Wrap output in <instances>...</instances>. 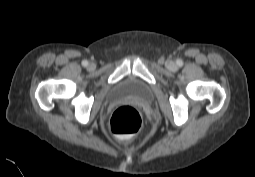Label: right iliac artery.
<instances>
[{
    "label": "right iliac artery",
    "mask_w": 255,
    "mask_h": 177,
    "mask_svg": "<svg viewBox=\"0 0 255 177\" xmlns=\"http://www.w3.org/2000/svg\"><path fill=\"white\" fill-rule=\"evenodd\" d=\"M82 65H83L84 67L88 66V61H87V60H83V61H82Z\"/></svg>",
    "instance_id": "1"
}]
</instances>
